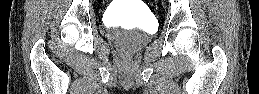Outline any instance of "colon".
<instances>
[{"label": "colon", "mask_w": 259, "mask_h": 94, "mask_svg": "<svg viewBox=\"0 0 259 94\" xmlns=\"http://www.w3.org/2000/svg\"><path fill=\"white\" fill-rule=\"evenodd\" d=\"M124 62H125L126 64H129V63H130V59H129L128 57H125Z\"/></svg>", "instance_id": "5ec220e1"}]
</instances>
